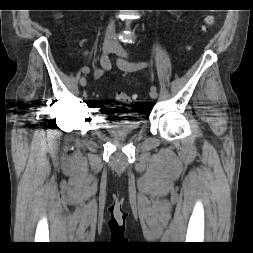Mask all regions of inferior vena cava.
Wrapping results in <instances>:
<instances>
[{
	"label": "inferior vena cava",
	"instance_id": "1",
	"mask_svg": "<svg viewBox=\"0 0 253 253\" xmlns=\"http://www.w3.org/2000/svg\"><path fill=\"white\" fill-rule=\"evenodd\" d=\"M114 34H115V24L114 21H110L106 31V38L111 39L114 37Z\"/></svg>",
	"mask_w": 253,
	"mask_h": 253
}]
</instances>
